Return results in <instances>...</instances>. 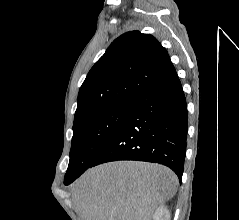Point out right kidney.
I'll use <instances>...</instances> for the list:
<instances>
[{
    "instance_id": "ca27d5eb",
    "label": "right kidney",
    "mask_w": 239,
    "mask_h": 220,
    "mask_svg": "<svg viewBox=\"0 0 239 220\" xmlns=\"http://www.w3.org/2000/svg\"><path fill=\"white\" fill-rule=\"evenodd\" d=\"M153 220H170V213L167 207L161 205L154 213Z\"/></svg>"
}]
</instances>
